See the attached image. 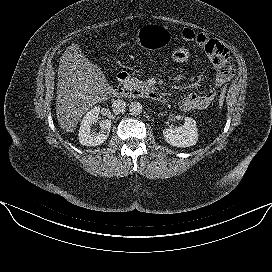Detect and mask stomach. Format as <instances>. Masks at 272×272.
Listing matches in <instances>:
<instances>
[{
	"instance_id": "0dacf381",
	"label": "stomach",
	"mask_w": 272,
	"mask_h": 272,
	"mask_svg": "<svg viewBox=\"0 0 272 272\" xmlns=\"http://www.w3.org/2000/svg\"><path fill=\"white\" fill-rule=\"evenodd\" d=\"M170 38L168 28L156 23L141 26L137 32L136 43L148 50H155L164 46Z\"/></svg>"
}]
</instances>
